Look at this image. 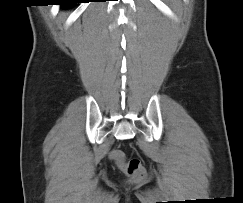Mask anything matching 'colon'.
I'll return each instance as SVG.
<instances>
[{"instance_id": "obj_1", "label": "colon", "mask_w": 243, "mask_h": 203, "mask_svg": "<svg viewBox=\"0 0 243 203\" xmlns=\"http://www.w3.org/2000/svg\"><path fill=\"white\" fill-rule=\"evenodd\" d=\"M110 157L117 163L119 168L133 181H141L145 177V171L140 160L137 158L126 161L123 153L119 150H113Z\"/></svg>"}]
</instances>
